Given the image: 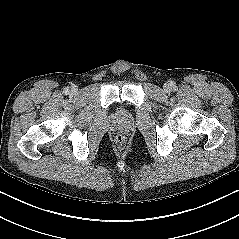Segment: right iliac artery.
<instances>
[{
	"label": "right iliac artery",
	"mask_w": 239,
	"mask_h": 239,
	"mask_svg": "<svg viewBox=\"0 0 239 239\" xmlns=\"http://www.w3.org/2000/svg\"><path fill=\"white\" fill-rule=\"evenodd\" d=\"M69 92H70V89L69 88H65L64 93L65 94H69Z\"/></svg>",
	"instance_id": "82829eb1"
}]
</instances>
